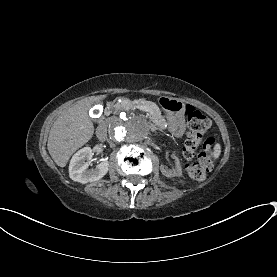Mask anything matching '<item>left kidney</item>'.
<instances>
[{
	"label": "left kidney",
	"instance_id": "left-kidney-1",
	"mask_svg": "<svg viewBox=\"0 0 277 277\" xmlns=\"http://www.w3.org/2000/svg\"><path fill=\"white\" fill-rule=\"evenodd\" d=\"M173 158L175 159V164H176L174 169L166 170L163 165L160 166V170L162 174L169 178L182 175V168H181L179 159L176 156H174Z\"/></svg>",
	"mask_w": 277,
	"mask_h": 277
}]
</instances>
